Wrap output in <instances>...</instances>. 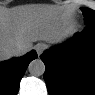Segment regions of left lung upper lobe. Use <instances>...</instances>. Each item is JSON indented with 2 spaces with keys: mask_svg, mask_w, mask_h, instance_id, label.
Listing matches in <instances>:
<instances>
[{
  "mask_svg": "<svg viewBox=\"0 0 95 95\" xmlns=\"http://www.w3.org/2000/svg\"><path fill=\"white\" fill-rule=\"evenodd\" d=\"M85 17V24L95 23V11L89 8H81Z\"/></svg>",
  "mask_w": 95,
  "mask_h": 95,
  "instance_id": "1",
  "label": "left lung upper lobe"
}]
</instances>
